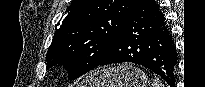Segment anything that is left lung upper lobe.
Wrapping results in <instances>:
<instances>
[{"label":"left lung upper lobe","mask_w":205,"mask_h":87,"mask_svg":"<svg viewBox=\"0 0 205 87\" xmlns=\"http://www.w3.org/2000/svg\"><path fill=\"white\" fill-rule=\"evenodd\" d=\"M136 0H74L46 55L74 80L99 66Z\"/></svg>","instance_id":"5c2ea615"}]
</instances>
